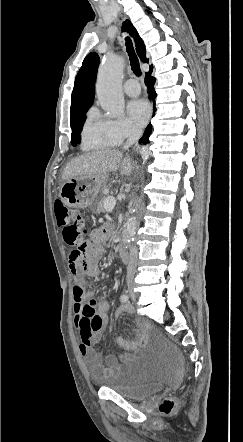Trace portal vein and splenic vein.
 Segmentation results:
<instances>
[{"instance_id": "obj_1", "label": "portal vein and splenic vein", "mask_w": 243, "mask_h": 442, "mask_svg": "<svg viewBox=\"0 0 243 442\" xmlns=\"http://www.w3.org/2000/svg\"><path fill=\"white\" fill-rule=\"evenodd\" d=\"M115 205H116V200H115V198H112V199H110V200H107V201L104 203V207H105V209H106L107 212H112L113 209H114V207H115Z\"/></svg>"}]
</instances>
